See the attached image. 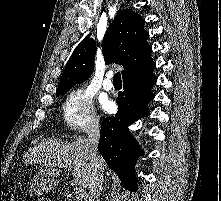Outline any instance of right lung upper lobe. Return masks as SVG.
I'll list each match as a JSON object with an SVG mask.
<instances>
[{
	"mask_svg": "<svg viewBox=\"0 0 221 201\" xmlns=\"http://www.w3.org/2000/svg\"><path fill=\"white\" fill-rule=\"evenodd\" d=\"M144 19L130 10H120L108 27L102 51L105 63L123 65V78L141 72L153 64L152 48L147 43L149 33L143 28ZM96 43L87 35L72 53L62 74L57 93L67 92L75 84L90 77Z\"/></svg>",
	"mask_w": 221,
	"mask_h": 201,
	"instance_id": "1",
	"label": "right lung upper lobe"
}]
</instances>
